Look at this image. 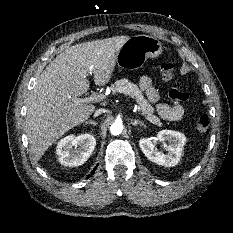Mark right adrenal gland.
<instances>
[{
	"mask_svg": "<svg viewBox=\"0 0 233 233\" xmlns=\"http://www.w3.org/2000/svg\"><path fill=\"white\" fill-rule=\"evenodd\" d=\"M85 124H86V125H87V124H91V125H94V126L97 125V123H96L95 121H93V120H89V121H87Z\"/></svg>",
	"mask_w": 233,
	"mask_h": 233,
	"instance_id": "obj_1",
	"label": "right adrenal gland"
}]
</instances>
